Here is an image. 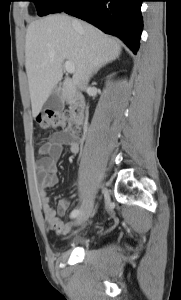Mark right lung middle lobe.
Instances as JSON below:
<instances>
[{"instance_id":"obj_1","label":"right lung middle lobe","mask_w":181,"mask_h":300,"mask_svg":"<svg viewBox=\"0 0 181 300\" xmlns=\"http://www.w3.org/2000/svg\"><path fill=\"white\" fill-rule=\"evenodd\" d=\"M36 4L38 15L45 16L54 13L64 2V0H28Z\"/></svg>"}]
</instances>
